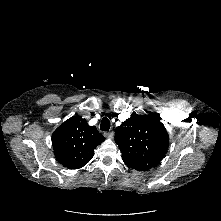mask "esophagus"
Listing matches in <instances>:
<instances>
[{"instance_id":"1","label":"esophagus","mask_w":221,"mask_h":221,"mask_svg":"<svg viewBox=\"0 0 221 221\" xmlns=\"http://www.w3.org/2000/svg\"><path fill=\"white\" fill-rule=\"evenodd\" d=\"M104 135L107 138H113L114 132L113 131H108V132H105Z\"/></svg>"}]
</instances>
